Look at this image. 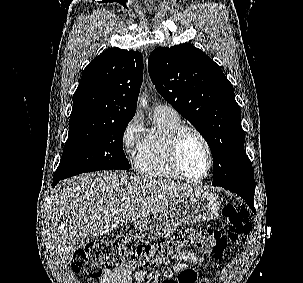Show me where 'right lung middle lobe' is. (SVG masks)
Instances as JSON below:
<instances>
[{
  "instance_id": "obj_1",
  "label": "right lung middle lobe",
  "mask_w": 303,
  "mask_h": 283,
  "mask_svg": "<svg viewBox=\"0 0 303 283\" xmlns=\"http://www.w3.org/2000/svg\"><path fill=\"white\" fill-rule=\"evenodd\" d=\"M129 121L69 120L68 139L54 176L67 178L90 171L130 169L122 146Z\"/></svg>"
}]
</instances>
